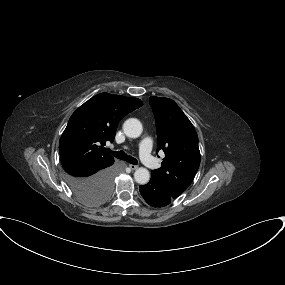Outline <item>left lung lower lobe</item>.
I'll use <instances>...</instances> for the list:
<instances>
[{
  "label": "left lung lower lobe",
  "mask_w": 285,
  "mask_h": 285,
  "mask_svg": "<svg viewBox=\"0 0 285 285\" xmlns=\"http://www.w3.org/2000/svg\"><path fill=\"white\" fill-rule=\"evenodd\" d=\"M144 200L153 207H164L171 203L176 196L161 180L151 176L150 182L139 187Z\"/></svg>",
  "instance_id": "left-lung-lower-lobe-1"
}]
</instances>
